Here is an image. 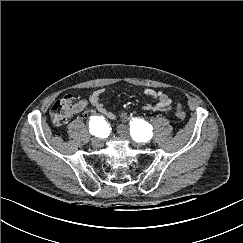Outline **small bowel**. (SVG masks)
<instances>
[{
    "mask_svg": "<svg viewBox=\"0 0 243 243\" xmlns=\"http://www.w3.org/2000/svg\"><path fill=\"white\" fill-rule=\"evenodd\" d=\"M105 89L101 88L92 93L89 98L90 104L97 110L99 114L106 118H114V114L110 112L102 101ZM144 94L156 100V103H142L141 108L144 111H169L172 109V100L162 91L153 88H146ZM88 105V101L80 100L73 108V112H80Z\"/></svg>",
    "mask_w": 243,
    "mask_h": 243,
    "instance_id": "c3829d8e",
    "label": "small bowel"
}]
</instances>
